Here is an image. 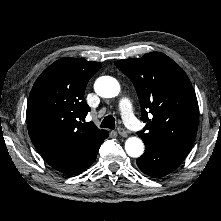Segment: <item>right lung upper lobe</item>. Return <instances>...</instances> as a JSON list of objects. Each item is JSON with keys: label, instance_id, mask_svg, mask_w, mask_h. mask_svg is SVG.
Here are the masks:
<instances>
[{"label": "right lung upper lobe", "instance_id": "1", "mask_svg": "<svg viewBox=\"0 0 221 221\" xmlns=\"http://www.w3.org/2000/svg\"><path fill=\"white\" fill-rule=\"evenodd\" d=\"M100 68V62L67 57L51 64L38 77L27 103V127L42 155L108 134L92 122H81L90 111L84 100L86 85Z\"/></svg>", "mask_w": 221, "mask_h": 221}]
</instances>
